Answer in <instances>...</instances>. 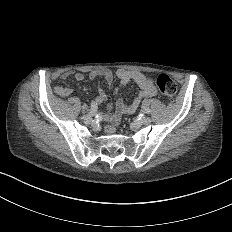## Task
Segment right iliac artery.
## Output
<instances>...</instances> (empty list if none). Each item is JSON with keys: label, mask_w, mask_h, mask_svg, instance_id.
Wrapping results in <instances>:
<instances>
[{"label": "right iliac artery", "mask_w": 232, "mask_h": 232, "mask_svg": "<svg viewBox=\"0 0 232 232\" xmlns=\"http://www.w3.org/2000/svg\"><path fill=\"white\" fill-rule=\"evenodd\" d=\"M96 108H97V103L92 102L91 103V110H90V112L87 115L81 116L80 119L81 120H86V119L92 118L95 115V113H96Z\"/></svg>", "instance_id": "obj_1"}]
</instances>
